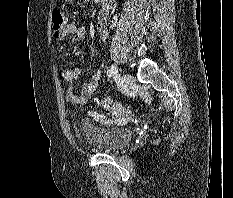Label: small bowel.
Masks as SVG:
<instances>
[{
    "label": "small bowel",
    "mask_w": 233,
    "mask_h": 198,
    "mask_svg": "<svg viewBox=\"0 0 233 198\" xmlns=\"http://www.w3.org/2000/svg\"><path fill=\"white\" fill-rule=\"evenodd\" d=\"M106 12H101L97 18L96 29L99 32L103 41L107 40L108 32L106 27ZM72 37L73 42L82 41L86 36V30L83 26L76 24H66L64 28L59 32H54V39L57 42L63 41L67 36ZM81 70L78 67L72 69H64L61 71L62 79L72 84L80 76ZM101 77V71L90 73L87 83L83 86V90L80 94L74 92L72 86H69L66 94L68 102L74 105H86L90 102L91 97L98 88L99 79ZM95 118L99 121L105 122L106 118L99 114H94Z\"/></svg>",
    "instance_id": "obj_1"
}]
</instances>
